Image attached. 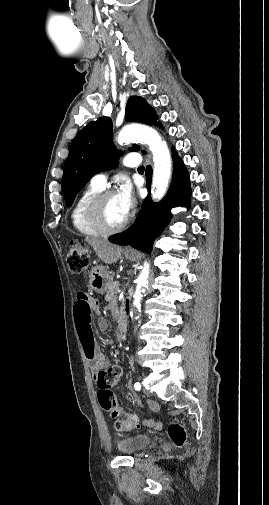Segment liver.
Masks as SVG:
<instances>
[{"mask_svg":"<svg viewBox=\"0 0 269 505\" xmlns=\"http://www.w3.org/2000/svg\"><path fill=\"white\" fill-rule=\"evenodd\" d=\"M85 241L91 245L97 256L105 264L116 263L122 255V248L106 240L97 238H86Z\"/></svg>","mask_w":269,"mask_h":505,"instance_id":"obj_1","label":"liver"}]
</instances>
